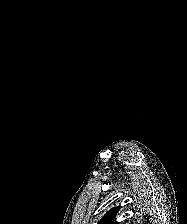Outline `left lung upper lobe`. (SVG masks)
<instances>
[{
    "instance_id": "left-lung-upper-lobe-1",
    "label": "left lung upper lobe",
    "mask_w": 187,
    "mask_h": 224,
    "mask_svg": "<svg viewBox=\"0 0 187 224\" xmlns=\"http://www.w3.org/2000/svg\"><path fill=\"white\" fill-rule=\"evenodd\" d=\"M120 207H114L111 210H109L104 217L98 222V224H119L118 222H112V220L115 218L118 210Z\"/></svg>"
}]
</instances>
